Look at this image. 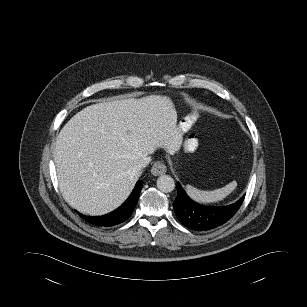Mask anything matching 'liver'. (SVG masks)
<instances>
[{"instance_id": "obj_1", "label": "liver", "mask_w": 307, "mask_h": 307, "mask_svg": "<svg viewBox=\"0 0 307 307\" xmlns=\"http://www.w3.org/2000/svg\"><path fill=\"white\" fill-rule=\"evenodd\" d=\"M183 131L169 97L152 95L88 106L60 131L54 149L65 201L89 215H104L130 195L138 161L164 148L179 151Z\"/></svg>"}]
</instances>
